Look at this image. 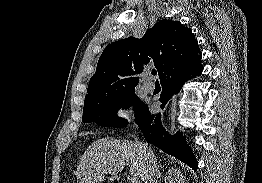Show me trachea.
<instances>
[{"label":"trachea","mask_w":262,"mask_h":183,"mask_svg":"<svg viewBox=\"0 0 262 183\" xmlns=\"http://www.w3.org/2000/svg\"><path fill=\"white\" fill-rule=\"evenodd\" d=\"M157 74V71L156 70H152V75H156ZM158 82V80H157Z\"/></svg>","instance_id":"obj_1"}]
</instances>
